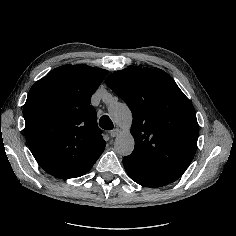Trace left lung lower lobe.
Returning a JSON list of instances; mask_svg holds the SVG:
<instances>
[{"label":"left lung lower lobe","instance_id":"obj_1","mask_svg":"<svg viewBox=\"0 0 236 236\" xmlns=\"http://www.w3.org/2000/svg\"><path fill=\"white\" fill-rule=\"evenodd\" d=\"M123 164L130 178L142 186L155 188L172 183L125 157Z\"/></svg>","mask_w":236,"mask_h":236}]
</instances>
